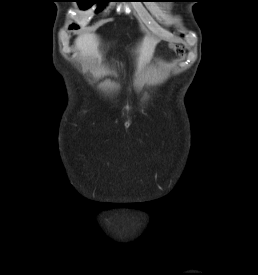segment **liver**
Here are the masks:
<instances>
[{
  "mask_svg": "<svg viewBox=\"0 0 258 275\" xmlns=\"http://www.w3.org/2000/svg\"><path fill=\"white\" fill-rule=\"evenodd\" d=\"M76 47L81 51L82 56H93V57H99L98 53V38L95 34H82L80 35L76 41ZM155 41L151 38H146L141 47H140V63H144L148 56L150 51L152 50L154 46Z\"/></svg>",
  "mask_w": 258,
  "mask_h": 275,
  "instance_id": "6515ba94",
  "label": "liver"
}]
</instances>
